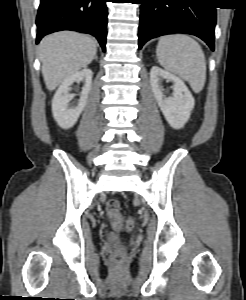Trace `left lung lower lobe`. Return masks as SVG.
Masks as SVG:
<instances>
[{
	"mask_svg": "<svg viewBox=\"0 0 246 300\" xmlns=\"http://www.w3.org/2000/svg\"><path fill=\"white\" fill-rule=\"evenodd\" d=\"M142 4L139 49L148 40L186 33L204 40L214 51L216 9L212 0H138Z\"/></svg>",
	"mask_w": 246,
	"mask_h": 300,
	"instance_id": "obj_1",
	"label": "left lung lower lobe"
}]
</instances>
